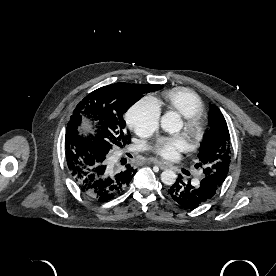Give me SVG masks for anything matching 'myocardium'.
<instances>
[{
  "label": "myocardium",
  "mask_w": 276,
  "mask_h": 276,
  "mask_svg": "<svg viewBox=\"0 0 276 276\" xmlns=\"http://www.w3.org/2000/svg\"><path fill=\"white\" fill-rule=\"evenodd\" d=\"M184 130L192 146H196L204 133V123L201 115L184 117Z\"/></svg>",
  "instance_id": "obj_1"
}]
</instances>
